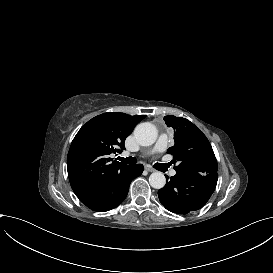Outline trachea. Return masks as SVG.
<instances>
[{
	"label": "trachea",
	"mask_w": 273,
	"mask_h": 273,
	"mask_svg": "<svg viewBox=\"0 0 273 273\" xmlns=\"http://www.w3.org/2000/svg\"><path fill=\"white\" fill-rule=\"evenodd\" d=\"M117 159L120 160L121 162H123L125 164H129V165H134L137 162L135 157H128V158L118 157ZM153 167L157 169L156 164Z\"/></svg>",
	"instance_id": "3493384b"
}]
</instances>
